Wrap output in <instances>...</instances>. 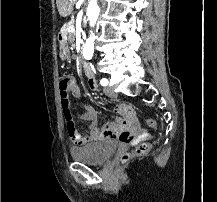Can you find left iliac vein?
Here are the masks:
<instances>
[{
	"label": "left iliac vein",
	"mask_w": 217,
	"mask_h": 202,
	"mask_svg": "<svg viewBox=\"0 0 217 202\" xmlns=\"http://www.w3.org/2000/svg\"><path fill=\"white\" fill-rule=\"evenodd\" d=\"M104 92L106 93V95H108L111 98H114L116 96L115 92H114V89L112 87H110V86L105 87Z\"/></svg>",
	"instance_id": "4c4485c4"
}]
</instances>
